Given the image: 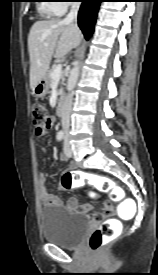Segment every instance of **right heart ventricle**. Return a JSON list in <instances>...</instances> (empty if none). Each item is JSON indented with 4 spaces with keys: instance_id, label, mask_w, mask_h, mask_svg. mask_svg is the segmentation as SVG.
<instances>
[{
    "instance_id": "e07e8e85",
    "label": "right heart ventricle",
    "mask_w": 158,
    "mask_h": 275,
    "mask_svg": "<svg viewBox=\"0 0 158 275\" xmlns=\"http://www.w3.org/2000/svg\"><path fill=\"white\" fill-rule=\"evenodd\" d=\"M54 2V1H53ZM40 10L47 14V15H51V16H59L63 13L60 12L59 9H57L54 5V3H42L40 5Z\"/></svg>"
}]
</instances>
